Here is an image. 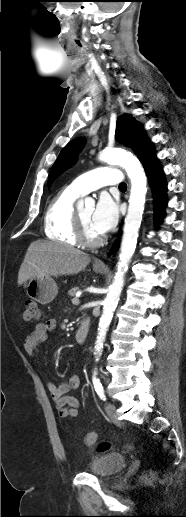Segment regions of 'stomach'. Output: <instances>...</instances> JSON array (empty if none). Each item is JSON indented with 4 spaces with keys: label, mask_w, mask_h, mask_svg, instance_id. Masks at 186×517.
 Returning a JSON list of instances; mask_svg holds the SVG:
<instances>
[{
    "label": "stomach",
    "mask_w": 186,
    "mask_h": 517,
    "mask_svg": "<svg viewBox=\"0 0 186 517\" xmlns=\"http://www.w3.org/2000/svg\"><path fill=\"white\" fill-rule=\"evenodd\" d=\"M93 270L96 273H103L105 267L94 266ZM26 292L30 298L46 305L54 300L58 293V287L50 276H46L29 280L26 284Z\"/></svg>",
    "instance_id": "obj_1"
}]
</instances>
